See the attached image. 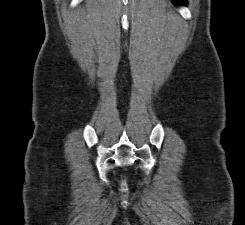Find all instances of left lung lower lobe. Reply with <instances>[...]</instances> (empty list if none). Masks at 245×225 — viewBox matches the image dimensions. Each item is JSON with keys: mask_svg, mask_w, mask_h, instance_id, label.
Instances as JSON below:
<instances>
[{"mask_svg": "<svg viewBox=\"0 0 245 225\" xmlns=\"http://www.w3.org/2000/svg\"><path fill=\"white\" fill-rule=\"evenodd\" d=\"M176 3H182V4H186V1L185 0H174Z\"/></svg>", "mask_w": 245, "mask_h": 225, "instance_id": "0a47b994", "label": "left lung lower lobe"}]
</instances>
